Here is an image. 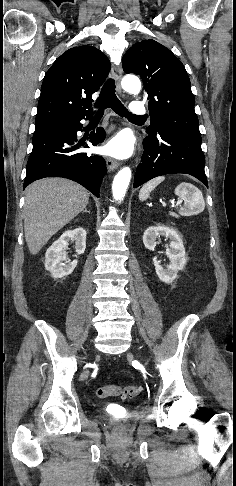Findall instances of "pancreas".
Masks as SVG:
<instances>
[{
    "mask_svg": "<svg viewBox=\"0 0 236 486\" xmlns=\"http://www.w3.org/2000/svg\"><path fill=\"white\" fill-rule=\"evenodd\" d=\"M172 215H173L174 217L178 218V215H176V214H172Z\"/></svg>",
    "mask_w": 236,
    "mask_h": 486,
    "instance_id": "pancreas-1",
    "label": "pancreas"
}]
</instances>
